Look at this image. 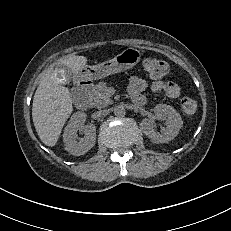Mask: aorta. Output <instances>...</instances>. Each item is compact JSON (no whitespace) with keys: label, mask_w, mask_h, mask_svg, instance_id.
Wrapping results in <instances>:
<instances>
[{"label":"aorta","mask_w":231,"mask_h":231,"mask_svg":"<svg viewBox=\"0 0 231 231\" xmlns=\"http://www.w3.org/2000/svg\"><path fill=\"white\" fill-rule=\"evenodd\" d=\"M114 114L118 117H123L126 114L124 106L118 105L114 108Z\"/></svg>","instance_id":"1"}]
</instances>
